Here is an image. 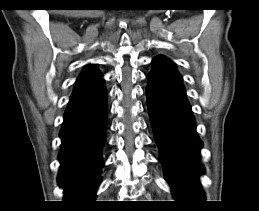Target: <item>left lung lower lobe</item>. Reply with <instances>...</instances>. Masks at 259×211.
<instances>
[{"mask_svg": "<svg viewBox=\"0 0 259 211\" xmlns=\"http://www.w3.org/2000/svg\"><path fill=\"white\" fill-rule=\"evenodd\" d=\"M147 107L165 178L178 199L203 200L202 141L182 84L148 75Z\"/></svg>", "mask_w": 259, "mask_h": 211, "instance_id": "obj_1", "label": "left lung lower lobe"}]
</instances>
